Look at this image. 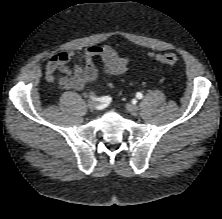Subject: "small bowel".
I'll use <instances>...</instances> for the list:
<instances>
[{"label":"small bowel","instance_id":"1","mask_svg":"<svg viewBox=\"0 0 222 219\" xmlns=\"http://www.w3.org/2000/svg\"><path fill=\"white\" fill-rule=\"evenodd\" d=\"M103 61L106 77L124 74L128 68V59L120 56L109 45H95L79 51H60L53 54L47 62L45 76L48 81L57 82L61 90H82L93 86L98 80V70L94 58ZM74 66L69 67L70 62Z\"/></svg>","mask_w":222,"mask_h":219}]
</instances>
